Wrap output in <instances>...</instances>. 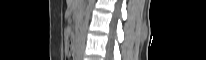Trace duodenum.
Wrapping results in <instances>:
<instances>
[{
    "instance_id": "duodenum-1",
    "label": "duodenum",
    "mask_w": 206,
    "mask_h": 60,
    "mask_svg": "<svg viewBox=\"0 0 206 60\" xmlns=\"http://www.w3.org/2000/svg\"><path fill=\"white\" fill-rule=\"evenodd\" d=\"M76 33L81 35V34L84 33V30H83V29H77V30H76Z\"/></svg>"
}]
</instances>
